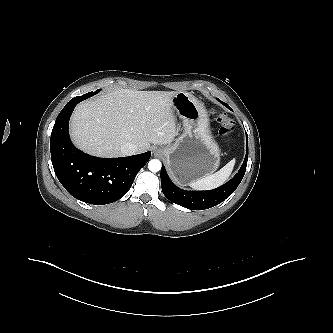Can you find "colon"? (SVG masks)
I'll return each mask as SVG.
<instances>
[{"mask_svg":"<svg viewBox=\"0 0 333 333\" xmlns=\"http://www.w3.org/2000/svg\"><path fill=\"white\" fill-rule=\"evenodd\" d=\"M217 120L221 123V134L229 136L236 130L235 122L224 112H216Z\"/></svg>","mask_w":333,"mask_h":333,"instance_id":"1","label":"colon"}]
</instances>
